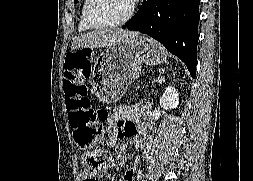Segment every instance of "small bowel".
<instances>
[{"label": "small bowel", "instance_id": "1", "mask_svg": "<svg viewBox=\"0 0 253 181\" xmlns=\"http://www.w3.org/2000/svg\"><path fill=\"white\" fill-rule=\"evenodd\" d=\"M80 63L78 70L83 76V82L86 80L90 71V58L87 53H79ZM134 110L130 107H118L112 113L108 124V136L110 140H116L120 137H131L137 134V127L132 122L134 118ZM113 163H109L107 168H111ZM135 168H130L122 180L120 181H134ZM81 181H94L93 176L88 171H83L80 175Z\"/></svg>", "mask_w": 253, "mask_h": 181}]
</instances>
